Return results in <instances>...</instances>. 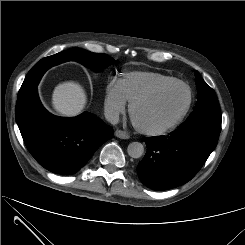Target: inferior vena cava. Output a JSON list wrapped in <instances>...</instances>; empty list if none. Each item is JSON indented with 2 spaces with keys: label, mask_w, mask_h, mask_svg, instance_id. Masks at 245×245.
I'll list each match as a JSON object with an SVG mask.
<instances>
[{
  "label": "inferior vena cava",
  "mask_w": 245,
  "mask_h": 245,
  "mask_svg": "<svg viewBox=\"0 0 245 245\" xmlns=\"http://www.w3.org/2000/svg\"><path fill=\"white\" fill-rule=\"evenodd\" d=\"M105 118L111 124H117L119 122V112L115 110H105Z\"/></svg>",
  "instance_id": "602c4592"
}]
</instances>
